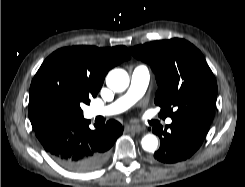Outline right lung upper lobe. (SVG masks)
I'll return each mask as SVG.
<instances>
[{"mask_svg":"<svg viewBox=\"0 0 245 187\" xmlns=\"http://www.w3.org/2000/svg\"><path fill=\"white\" fill-rule=\"evenodd\" d=\"M130 57L125 46L112 48L73 46L58 49L46 61H56L66 65L99 91L107 72ZM36 128L38 127H34Z\"/></svg>","mask_w":245,"mask_h":187,"instance_id":"right-lung-upper-lobe-1","label":"right lung upper lobe"}]
</instances>
